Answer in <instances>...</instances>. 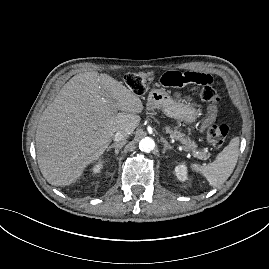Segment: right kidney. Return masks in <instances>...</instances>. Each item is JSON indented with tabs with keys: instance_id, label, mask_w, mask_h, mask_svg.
Returning a JSON list of instances; mask_svg holds the SVG:
<instances>
[{
	"instance_id": "right-kidney-1",
	"label": "right kidney",
	"mask_w": 269,
	"mask_h": 269,
	"mask_svg": "<svg viewBox=\"0 0 269 269\" xmlns=\"http://www.w3.org/2000/svg\"><path fill=\"white\" fill-rule=\"evenodd\" d=\"M103 168V164L102 163H99L97 164L94 168H93V173L96 174V173H100V170Z\"/></svg>"
}]
</instances>
